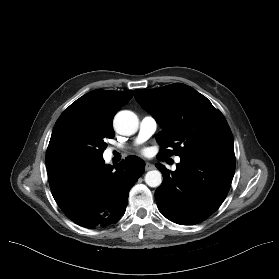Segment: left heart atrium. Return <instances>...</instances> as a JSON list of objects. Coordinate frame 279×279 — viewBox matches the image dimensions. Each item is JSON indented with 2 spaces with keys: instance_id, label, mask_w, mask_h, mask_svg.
<instances>
[{
  "instance_id": "left-heart-atrium-1",
  "label": "left heart atrium",
  "mask_w": 279,
  "mask_h": 279,
  "mask_svg": "<svg viewBox=\"0 0 279 279\" xmlns=\"http://www.w3.org/2000/svg\"><path fill=\"white\" fill-rule=\"evenodd\" d=\"M143 153L146 154V150H143Z\"/></svg>"
}]
</instances>
